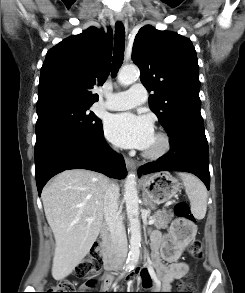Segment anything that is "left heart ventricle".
I'll return each instance as SVG.
<instances>
[{"mask_svg": "<svg viewBox=\"0 0 245 293\" xmlns=\"http://www.w3.org/2000/svg\"><path fill=\"white\" fill-rule=\"evenodd\" d=\"M161 143L160 140L154 135L150 145L146 148L148 151L157 150L160 147Z\"/></svg>", "mask_w": 245, "mask_h": 293, "instance_id": "b2bd125f", "label": "left heart ventricle"}]
</instances>
